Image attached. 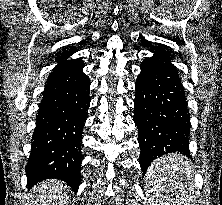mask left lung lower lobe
<instances>
[{"label":"left lung lower lobe","mask_w":222,"mask_h":205,"mask_svg":"<svg viewBox=\"0 0 222 205\" xmlns=\"http://www.w3.org/2000/svg\"><path fill=\"white\" fill-rule=\"evenodd\" d=\"M151 52L154 56L142 62L135 83L134 122L143 173L158 153L180 152L190 157V119L183 85L169 53Z\"/></svg>","instance_id":"left-lung-lower-lobe-1"}]
</instances>
